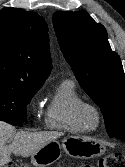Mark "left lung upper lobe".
<instances>
[{
    "label": "left lung upper lobe",
    "mask_w": 125,
    "mask_h": 167,
    "mask_svg": "<svg viewBox=\"0 0 125 167\" xmlns=\"http://www.w3.org/2000/svg\"><path fill=\"white\" fill-rule=\"evenodd\" d=\"M53 25L66 61L101 108L108 135L125 141V74L105 27L85 10L55 12Z\"/></svg>",
    "instance_id": "left-lung-upper-lobe-1"
}]
</instances>
